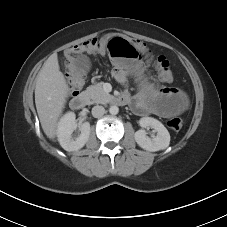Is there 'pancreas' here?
I'll list each match as a JSON object with an SVG mask.
<instances>
[{
	"label": "pancreas",
	"instance_id": "pancreas-1",
	"mask_svg": "<svg viewBox=\"0 0 227 227\" xmlns=\"http://www.w3.org/2000/svg\"><path fill=\"white\" fill-rule=\"evenodd\" d=\"M86 93L92 99V103L106 104L113 99V96L106 93L101 84L92 85L87 88Z\"/></svg>",
	"mask_w": 227,
	"mask_h": 227
}]
</instances>
